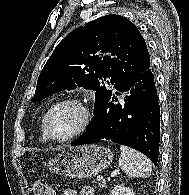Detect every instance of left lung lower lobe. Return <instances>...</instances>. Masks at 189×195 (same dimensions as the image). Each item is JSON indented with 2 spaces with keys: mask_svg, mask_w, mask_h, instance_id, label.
I'll use <instances>...</instances> for the list:
<instances>
[{
  "mask_svg": "<svg viewBox=\"0 0 189 195\" xmlns=\"http://www.w3.org/2000/svg\"><path fill=\"white\" fill-rule=\"evenodd\" d=\"M116 89L117 95H120L119 92L128 93L124 102L113 103L115 95L112 94L94 114L87 132L72 145L111 140L142 152L156 165L160 140V107L150 65Z\"/></svg>",
  "mask_w": 189,
  "mask_h": 195,
  "instance_id": "left-lung-lower-lobe-1",
  "label": "left lung lower lobe"
}]
</instances>
